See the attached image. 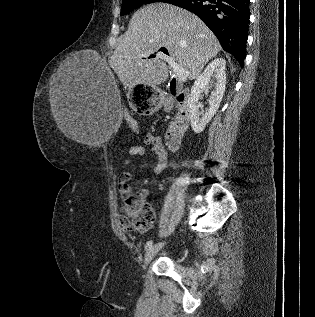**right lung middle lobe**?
Returning <instances> with one entry per match:
<instances>
[{
    "label": "right lung middle lobe",
    "mask_w": 315,
    "mask_h": 317,
    "mask_svg": "<svg viewBox=\"0 0 315 317\" xmlns=\"http://www.w3.org/2000/svg\"><path fill=\"white\" fill-rule=\"evenodd\" d=\"M176 1L177 0H122L121 15H126L132 10L144 4H149L154 2H165V3L172 4Z\"/></svg>",
    "instance_id": "dd1d6c3e"
}]
</instances>
